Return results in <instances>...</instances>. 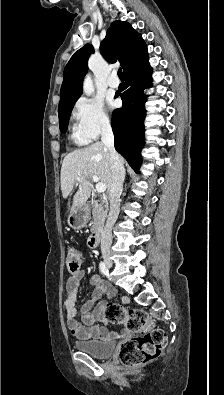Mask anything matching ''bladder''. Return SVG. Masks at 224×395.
I'll list each match as a JSON object with an SVG mask.
<instances>
[{"instance_id":"31cf9c89","label":"bladder","mask_w":224,"mask_h":395,"mask_svg":"<svg viewBox=\"0 0 224 395\" xmlns=\"http://www.w3.org/2000/svg\"><path fill=\"white\" fill-rule=\"evenodd\" d=\"M74 346L79 352L97 359L111 356L115 349V343L113 341L100 340H78L74 343Z\"/></svg>"}]
</instances>
